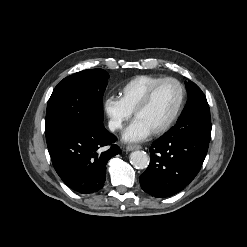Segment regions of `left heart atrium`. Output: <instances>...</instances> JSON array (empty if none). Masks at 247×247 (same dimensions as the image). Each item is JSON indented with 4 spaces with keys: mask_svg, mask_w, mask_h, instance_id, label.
<instances>
[{
    "mask_svg": "<svg viewBox=\"0 0 247 247\" xmlns=\"http://www.w3.org/2000/svg\"><path fill=\"white\" fill-rule=\"evenodd\" d=\"M151 130L140 120L134 119L124 130L123 139L129 142L142 141L148 138Z\"/></svg>",
    "mask_w": 247,
    "mask_h": 247,
    "instance_id": "left-heart-atrium-1",
    "label": "left heart atrium"
}]
</instances>
